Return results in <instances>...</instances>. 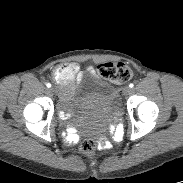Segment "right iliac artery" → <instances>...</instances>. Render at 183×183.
<instances>
[{"label":"right iliac artery","instance_id":"obj_1","mask_svg":"<svg viewBox=\"0 0 183 183\" xmlns=\"http://www.w3.org/2000/svg\"><path fill=\"white\" fill-rule=\"evenodd\" d=\"M46 86H47L48 88H50V87H51V84H50V83H47Z\"/></svg>","mask_w":183,"mask_h":183}]
</instances>
